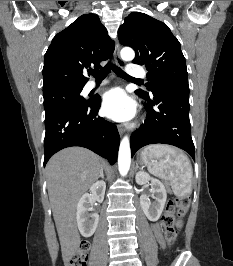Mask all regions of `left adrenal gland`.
<instances>
[{
	"instance_id": "obj_1",
	"label": "left adrenal gland",
	"mask_w": 233,
	"mask_h": 266,
	"mask_svg": "<svg viewBox=\"0 0 233 266\" xmlns=\"http://www.w3.org/2000/svg\"><path fill=\"white\" fill-rule=\"evenodd\" d=\"M139 168L138 164H136V170Z\"/></svg>"
}]
</instances>
